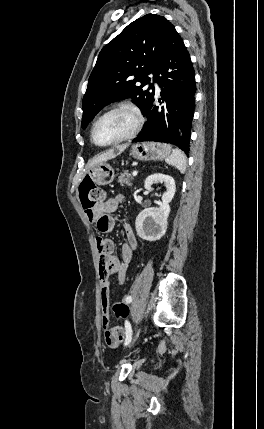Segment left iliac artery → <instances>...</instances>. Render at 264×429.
<instances>
[{
    "label": "left iliac artery",
    "instance_id": "left-iliac-artery-1",
    "mask_svg": "<svg viewBox=\"0 0 264 429\" xmlns=\"http://www.w3.org/2000/svg\"><path fill=\"white\" fill-rule=\"evenodd\" d=\"M126 302L131 303L132 297L128 296L126 298ZM125 330H126V339H125V346H126L131 342V339H132V328H131V324L128 321H125Z\"/></svg>",
    "mask_w": 264,
    "mask_h": 429
}]
</instances>
